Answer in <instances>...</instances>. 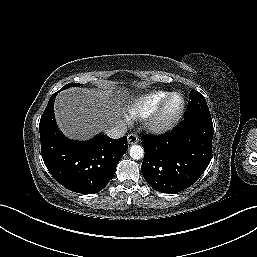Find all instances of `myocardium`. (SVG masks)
Here are the masks:
<instances>
[{"instance_id":"myocardium-1","label":"myocardium","mask_w":257,"mask_h":257,"mask_svg":"<svg viewBox=\"0 0 257 257\" xmlns=\"http://www.w3.org/2000/svg\"><path fill=\"white\" fill-rule=\"evenodd\" d=\"M174 97L180 98L178 109L171 115H167L166 111ZM185 111V99L178 92L170 93L164 101L152 111L146 119V127L155 134H164L171 131L181 120Z\"/></svg>"}]
</instances>
